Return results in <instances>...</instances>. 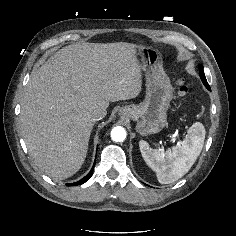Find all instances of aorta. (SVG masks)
<instances>
[{
	"label": "aorta",
	"instance_id": "aorta-1",
	"mask_svg": "<svg viewBox=\"0 0 236 236\" xmlns=\"http://www.w3.org/2000/svg\"><path fill=\"white\" fill-rule=\"evenodd\" d=\"M126 130L121 126H116L111 131V138L115 142H122L126 138Z\"/></svg>",
	"mask_w": 236,
	"mask_h": 236
}]
</instances>
